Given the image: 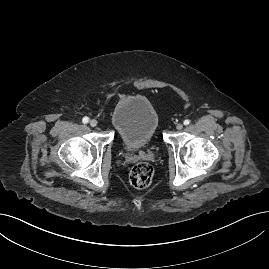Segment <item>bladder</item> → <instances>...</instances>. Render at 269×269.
Masks as SVG:
<instances>
[{
  "label": "bladder",
  "mask_w": 269,
  "mask_h": 269,
  "mask_svg": "<svg viewBox=\"0 0 269 269\" xmlns=\"http://www.w3.org/2000/svg\"><path fill=\"white\" fill-rule=\"evenodd\" d=\"M111 123L125 148L138 149L146 146L155 136L159 118L146 97L132 95L113 108Z\"/></svg>",
  "instance_id": "1"
}]
</instances>
